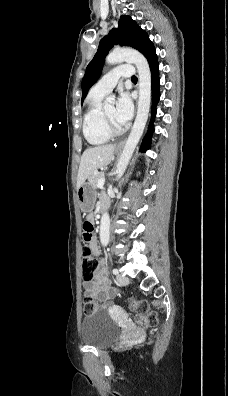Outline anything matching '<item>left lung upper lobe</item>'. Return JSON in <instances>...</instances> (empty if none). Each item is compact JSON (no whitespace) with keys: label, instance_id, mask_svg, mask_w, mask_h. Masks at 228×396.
Masks as SVG:
<instances>
[{"label":"left lung upper lobe","instance_id":"1","mask_svg":"<svg viewBox=\"0 0 228 396\" xmlns=\"http://www.w3.org/2000/svg\"><path fill=\"white\" fill-rule=\"evenodd\" d=\"M118 24V29H112L107 36L100 40L98 50L86 68L82 80L81 104L90 87L100 77L105 57L113 45L120 44L121 46L132 47L144 55L152 43L147 33L130 16H121Z\"/></svg>","mask_w":228,"mask_h":396}]
</instances>
